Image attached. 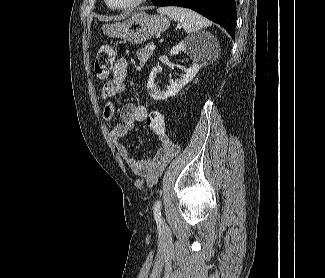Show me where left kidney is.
<instances>
[{
	"label": "left kidney",
	"mask_w": 325,
	"mask_h": 278,
	"mask_svg": "<svg viewBox=\"0 0 325 278\" xmlns=\"http://www.w3.org/2000/svg\"><path fill=\"white\" fill-rule=\"evenodd\" d=\"M205 41L201 36H191L185 38L178 45L173 47L170 51L171 55H177L179 52H185L190 55L193 59V65L184 70V74L180 80L170 81V86L164 90H158L156 84L154 83L157 68H153L148 79L147 91L154 100H165L169 97L175 96L178 92L199 72L201 67H203V58L205 53Z\"/></svg>",
	"instance_id": "left-kidney-1"
}]
</instances>
